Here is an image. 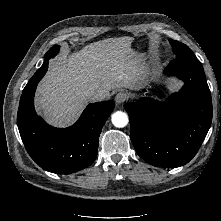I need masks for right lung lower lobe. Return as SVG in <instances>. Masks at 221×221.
Here are the masks:
<instances>
[{
	"label": "right lung lower lobe",
	"mask_w": 221,
	"mask_h": 221,
	"mask_svg": "<svg viewBox=\"0 0 221 221\" xmlns=\"http://www.w3.org/2000/svg\"><path fill=\"white\" fill-rule=\"evenodd\" d=\"M48 68L41 66L29 80L20 99L17 125L31 158L43 169L69 174L90 166L98 152L102 127L114 108L112 100L89 104L71 127L58 129L36 115L33 98Z\"/></svg>",
	"instance_id": "obj_1"
}]
</instances>
